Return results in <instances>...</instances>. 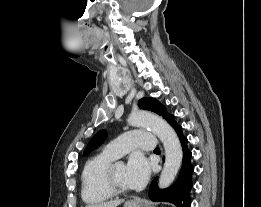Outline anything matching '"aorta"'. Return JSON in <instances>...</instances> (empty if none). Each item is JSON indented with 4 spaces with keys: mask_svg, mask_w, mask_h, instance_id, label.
Masks as SVG:
<instances>
[{
    "mask_svg": "<svg viewBox=\"0 0 261 207\" xmlns=\"http://www.w3.org/2000/svg\"><path fill=\"white\" fill-rule=\"evenodd\" d=\"M128 124L133 127L149 128L162 141L165 148V164L158 185L168 187L175 179L183 159L182 147L173 128L159 116L144 110L130 114Z\"/></svg>",
    "mask_w": 261,
    "mask_h": 207,
    "instance_id": "1",
    "label": "aorta"
}]
</instances>
